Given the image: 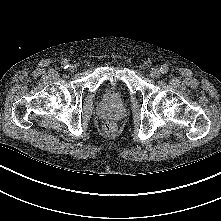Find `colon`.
Instances as JSON below:
<instances>
[{
	"instance_id": "1",
	"label": "colon",
	"mask_w": 221,
	"mask_h": 221,
	"mask_svg": "<svg viewBox=\"0 0 221 221\" xmlns=\"http://www.w3.org/2000/svg\"><path fill=\"white\" fill-rule=\"evenodd\" d=\"M104 131L108 134H112L116 131L117 129V126H116V123L113 122V121H107L105 124H104Z\"/></svg>"
}]
</instances>
